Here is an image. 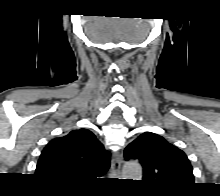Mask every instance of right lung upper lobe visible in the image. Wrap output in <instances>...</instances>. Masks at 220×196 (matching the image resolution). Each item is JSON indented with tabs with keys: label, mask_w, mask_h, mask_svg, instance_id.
<instances>
[{
	"label": "right lung upper lobe",
	"mask_w": 220,
	"mask_h": 196,
	"mask_svg": "<svg viewBox=\"0 0 220 196\" xmlns=\"http://www.w3.org/2000/svg\"><path fill=\"white\" fill-rule=\"evenodd\" d=\"M109 167V152L91 131L79 129L47 144L35 174L53 185L79 186L104 175Z\"/></svg>",
	"instance_id": "obj_1"
}]
</instances>
